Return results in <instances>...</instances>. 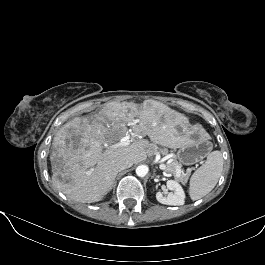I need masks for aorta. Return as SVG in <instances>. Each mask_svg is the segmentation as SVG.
<instances>
[{"instance_id": "aorta-1", "label": "aorta", "mask_w": 265, "mask_h": 265, "mask_svg": "<svg viewBox=\"0 0 265 265\" xmlns=\"http://www.w3.org/2000/svg\"><path fill=\"white\" fill-rule=\"evenodd\" d=\"M148 171H149V169L146 165H139L136 168V174L139 177H145L147 175Z\"/></svg>"}]
</instances>
